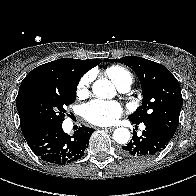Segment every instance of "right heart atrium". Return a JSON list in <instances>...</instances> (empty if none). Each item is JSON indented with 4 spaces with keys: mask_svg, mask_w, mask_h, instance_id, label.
Here are the masks:
<instances>
[{
    "mask_svg": "<svg viewBox=\"0 0 196 196\" xmlns=\"http://www.w3.org/2000/svg\"><path fill=\"white\" fill-rule=\"evenodd\" d=\"M91 80H92L91 74H86L85 76L81 78L77 86V94L79 96H84L88 93Z\"/></svg>",
    "mask_w": 196,
    "mask_h": 196,
    "instance_id": "obj_1",
    "label": "right heart atrium"
}]
</instances>
